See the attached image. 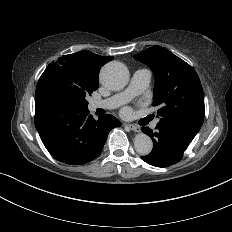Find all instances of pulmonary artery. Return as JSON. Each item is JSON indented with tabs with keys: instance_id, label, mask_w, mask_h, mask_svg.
I'll return each instance as SVG.
<instances>
[{
	"instance_id": "e3ab8cb5",
	"label": "pulmonary artery",
	"mask_w": 232,
	"mask_h": 232,
	"mask_svg": "<svg viewBox=\"0 0 232 232\" xmlns=\"http://www.w3.org/2000/svg\"><path fill=\"white\" fill-rule=\"evenodd\" d=\"M154 80V72L150 68H143L142 70H138L134 74V78L131 81L130 86L113 97L104 98L103 100L94 99L92 100V109L102 108L106 110L114 109L117 105V97L121 103H126L128 99H131L133 95H138L140 93L141 86L150 84ZM156 125V122L153 123V126Z\"/></svg>"
}]
</instances>
